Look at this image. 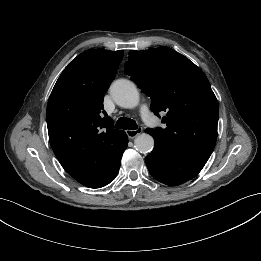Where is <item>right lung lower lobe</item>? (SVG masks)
Wrapping results in <instances>:
<instances>
[{"label":"right lung lower lobe","mask_w":261,"mask_h":261,"mask_svg":"<svg viewBox=\"0 0 261 261\" xmlns=\"http://www.w3.org/2000/svg\"><path fill=\"white\" fill-rule=\"evenodd\" d=\"M127 143H128V139L126 140V143H125L123 149L120 151L116 161L114 162L112 167L108 170V172L105 175H103L100 179L86 185L87 187H89V188H101V187L109 184L112 180H114V178L116 177V175L119 171L122 154L127 147Z\"/></svg>","instance_id":"1"}]
</instances>
